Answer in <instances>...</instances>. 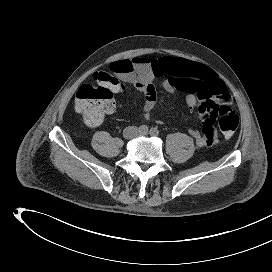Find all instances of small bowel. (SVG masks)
I'll use <instances>...</instances> for the list:
<instances>
[{
    "mask_svg": "<svg viewBox=\"0 0 272 272\" xmlns=\"http://www.w3.org/2000/svg\"><path fill=\"white\" fill-rule=\"evenodd\" d=\"M112 71L120 82L129 83L144 94L140 111L149 119L157 104V91L153 80L163 76L162 87L168 93L181 91L186 94L185 104L188 109L198 107L202 122L201 132L190 129L189 133L199 147L212 146L216 142V110L220 103L231 102V95L226 84L216 72L203 64L183 58L162 57L149 60L143 57L122 59L111 64ZM115 109L113 103L107 114Z\"/></svg>",
    "mask_w": 272,
    "mask_h": 272,
    "instance_id": "c3829d8e",
    "label": "small bowel"
}]
</instances>
